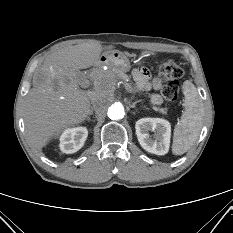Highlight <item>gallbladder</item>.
<instances>
[{
    "label": "gallbladder",
    "instance_id": "gallbladder-1",
    "mask_svg": "<svg viewBox=\"0 0 233 233\" xmlns=\"http://www.w3.org/2000/svg\"><path fill=\"white\" fill-rule=\"evenodd\" d=\"M76 77L79 79L81 77L79 72H76Z\"/></svg>",
    "mask_w": 233,
    "mask_h": 233
}]
</instances>
